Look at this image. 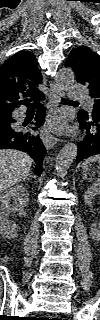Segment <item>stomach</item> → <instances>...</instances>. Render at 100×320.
<instances>
[{
  "instance_id": "stomach-1",
  "label": "stomach",
  "mask_w": 100,
  "mask_h": 320,
  "mask_svg": "<svg viewBox=\"0 0 100 320\" xmlns=\"http://www.w3.org/2000/svg\"><path fill=\"white\" fill-rule=\"evenodd\" d=\"M88 170H89V166L87 165V167H86V169H85V172L88 171Z\"/></svg>"
}]
</instances>
